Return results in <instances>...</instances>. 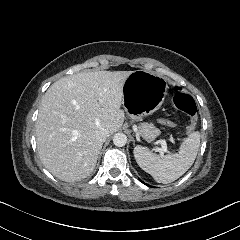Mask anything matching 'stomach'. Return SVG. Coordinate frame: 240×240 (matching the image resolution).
Returning a JSON list of instances; mask_svg holds the SVG:
<instances>
[{
  "label": "stomach",
  "mask_w": 240,
  "mask_h": 240,
  "mask_svg": "<svg viewBox=\"0 0 240 240\" xmlns=\"http://www.w3.org/2000/svg\"><path fill=\"white\" fill-rule=\"evenodd\" d=\"M168 79L143 69L132 71L124 83L122 104L131 119L157 111L168 92Z\"/></svg>",
  "instance_id": "obj_1"
}]
</instances>
